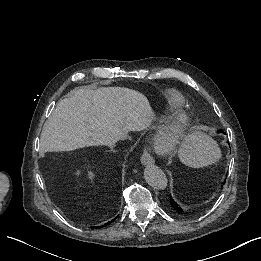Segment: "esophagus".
I'll return each instance as SVG.
<instances>
[{
    "instance_id": "1",
    "label": "esophagus",
    "mask_w": 261,
    "mask_h": 261,
    "mask_svg": "<svg viewBox=\"0 0 261 261\" xmlns=\"http://www.w3.org/2000/svg\"><path fill=\"white\" fill-rule=\"evenodd\" d=\"M141 163L143 165H152L154 163V159L151 153V147L149 145H146L143 149L141 155Z\"/></svg>"
}]
</instances>
